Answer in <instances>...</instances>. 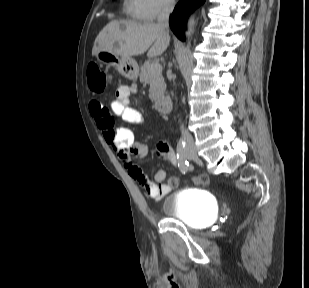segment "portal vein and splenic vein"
I'll use <instances>...</instances> for the list:
<instances>
[{"label": "portal vein and splenic vein", "mask_w": 309, "mask_h": 288, "mask_svg": "<svg viewBox=\"0 0 309 288\" xmlns=\"http://www.w3.org/2000/svg\"><path fill=\"white\" fill-rule=\"evenodd\" d=\"M151 71H156V70H161L162 69V67H161V65L159 64V63H153L152 65H151Z\"/></svg>", "instance_id": "1"}]
</instances>
